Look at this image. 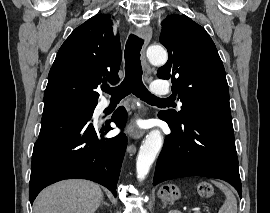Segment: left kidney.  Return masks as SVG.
I'll use <instances>...</instances> for the list:
<instances>
[{
  "mask_svg": "<svg viewBox=\"0 0 270 213\" xmlns=\"http://www.w3.org/2000/svg\"><path fill=\"white\" fill-rule=\"evenodd\" d=\"M168 213H182V212H180V211H178V210H171V211H169Z\"/></svg>",
  "mask_w": 270,
  "mask_h": 213,
  "instance_id": "left-kidney-1",
  "label": "left kidney"
}]
</instances>
